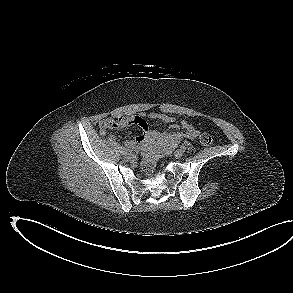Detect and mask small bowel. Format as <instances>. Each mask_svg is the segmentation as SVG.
<instances>
[{"mask_svg":"<svg viewBox=\"0 0 293 293\" xmlns=\"http://www.w3.org/2000/svg\"><path fill=\"white\" fill-rule=\"evenodd\" d=\"M146 118L159 119L164 123L175 122L174 117L160 113L140 114L133 117H111L99 123L100 133L104 135L108 129L127 128L131 125H137L142 130V134L126 140L125 145L132 148L140 146L148 150L165 143H173L177 146L184 139H196L199 136V131L186 120H182L180 125L175 124L174 131L159 132L149 129ZM180 127L183 131L178 130Z\"/></svg>","mask_w":293,"mask_h":293,"instance_id":"obj_1","label":"small bowel"}]
</instances>
